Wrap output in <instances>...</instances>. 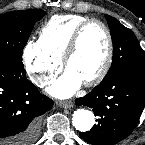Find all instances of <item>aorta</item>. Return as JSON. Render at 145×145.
Returning <instances> with one entry per match:
<instances>
[{"mask_svg": "<svg viewBox=\"0 0 145 145\" xmlns=\"http://www.w3.org/2000/svg\"><path fill=\"white\" fill-rule=\"evenodd\" d=\"M72 116V124L78 131H89L95 124V116L89 110L77 109Z\"/></svg>", "mask_w": 145, "mask_h": 145, "instance_id": "aorta-1", "label": "aorta"}]
</instances>
